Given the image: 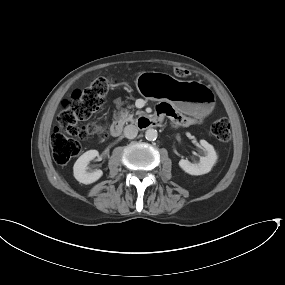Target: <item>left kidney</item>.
I'll list each match as a JSON object with an SVG mask.
<instances>
[{
    "mask_svg": "<svg viewBox=\"0 0 285 285\" xmlns=\"http://www.w3.org/2000/svg\"><path fill=\"white\" fill-rule=\"evenodd\" d=\"M200 146L205 156L200 157L199 163H191L187 159H181L179 166L190 175H203L211 171L217 161V154L214 147L206 140H200Z\"/></svg>",
    "mask_w": 285,
    "mask_h": 285,
    "instance_id": "obj_1",
    "label": "left kidney"
}]
</instances>
